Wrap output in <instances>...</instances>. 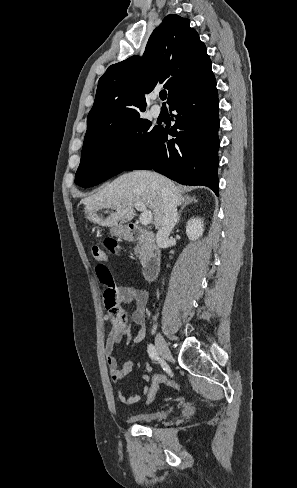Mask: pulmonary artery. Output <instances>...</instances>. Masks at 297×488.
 Segmentation results:
<instances>
[{
  "mask_svg": "<svg viewBox=\"0 0 297 488\" xmlns=\"http://www.w3.org/2000/svg\"><path fill=\"white\" fill-rule=\"evenodd\" d=\"M161 113L160 107L159 106H153L151 109V114L153 117H158Z\"/></svg>",
  "mask_w": 297,
  "mask_h": 488,
  "instance_id": "e3ab8cb5",
  "label": "pulmonary artery"
}]
</instances>
